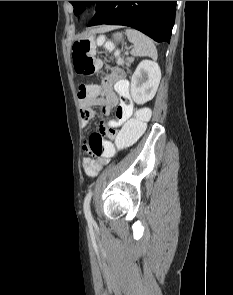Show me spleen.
<instances>
[{"instance_id": "spleen-1", "label": "spleen", "mask_w": 233, "mask_h": 295, "mask_svg": "<svg viewBox=\"0 0 233 295\" xmlns=\"http://www.w3.org/2000/svg\"><path fill=\"white\" fill-rule=\"evenodd\" d=\"M126 35L128 40L134 45L131 50L133 56H149L157 59V50L151 38L131 28L126 29ZM98 41L100 43L104 42V37H99ZM105 48L111 51L114 49V44L108 41L105 43ZM115 55H119V51H116Z\"/></svg>"}]
</instances>
